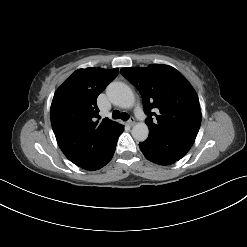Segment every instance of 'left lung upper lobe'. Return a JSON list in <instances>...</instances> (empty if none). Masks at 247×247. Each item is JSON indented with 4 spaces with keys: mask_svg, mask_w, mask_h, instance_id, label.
Returning a JSON list of instances; mask_svg holds the SVG:
<instances>
[{
    "mask_svg": "<svg viewBox=\"0 0 247 247\" xmlns=\"http://www.w3.org/2000/svg\"><path fill=\"white\" fill-rule=\"evenodd\" d=\"M140 92L149 135L192 145L201 123L196 92L176 69L162 64L120 70Z\"/></svg>",
    "mask_w": 247,
    "mask_h": 247,
    "instance_id": "obj_1",
    "label": "left lung upper lobe"
}]
</instances>
